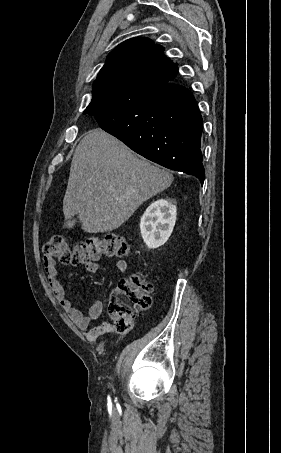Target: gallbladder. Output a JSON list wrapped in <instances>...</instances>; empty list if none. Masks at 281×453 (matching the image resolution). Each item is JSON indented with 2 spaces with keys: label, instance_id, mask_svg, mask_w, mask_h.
Wrapping results in <instances>:
<instances>
[{
  "label": "gallbladder",
  "instance_id": "gallbladder-1",
  "mask_svg": "<svg viewBox=\"0 0 281 453\" xmlns=\"http://www.w3.org/2000/svg\"><path fill=\"white\" fill-rule=\"evenodd\" d=\"M63 225H64L65 228L68 229V228H70V227H71V228H74V227L76 226V223H75L74 221H71V222H70V221L67 220V221L64 222Z\"/></svg>",
  "mask_w": 281,
  "mask_h": 453
}]
</instances>
